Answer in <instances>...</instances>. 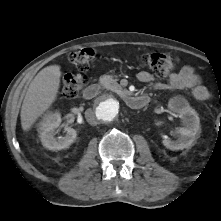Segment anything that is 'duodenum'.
I'll return each instance as SVG.
<instances>
[{"mask_svg": "<svg viewBox=\"0 0 221 221\" xmlns=\"http://www.w3.org/2000/svg\"><path fill=\"white\" fill-rule=\"evenodd\" d=\"M101 91V86L97 83L89 85L84 91L85 99L91 100L95 98ZM125 101L129 107L139 109L144 107L149 102L148 96H126Z\"/></svg>", "mask_w": 221, "mask_h": 221, "instance_id": "obj_1", "label": "duodenum"}]
</instances>
